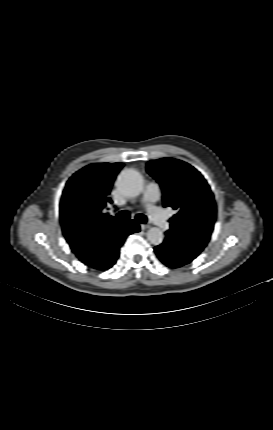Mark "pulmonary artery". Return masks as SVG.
Here are the masks:
<instances>
[{"mask_svg":"<svg viewBox=\"0 0 273 430\" xmlns=\"http://www.w3.org/2000/svg\"><path fill=\"white\" fill-rule=\"evenodd\" d=\"M161 197V191L158 184L151 182L149 183L142 197V203L146 207L149 217L162 229L167 230L169 228V222L164 212L157 207L155 204Z\"/></svg>","mask_w":273,"mask_h":430,"instance_id":"1","label":"pulmonary artery"}]
</instances>
